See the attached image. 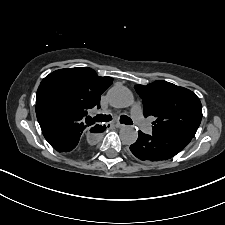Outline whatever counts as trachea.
Segmentation results:
<instances>
[{
	"mask_svg": "<svg viewBox=\"0 0 225 225\" xmlns=\"http://www.w3.org/2000/svg\"><path fill=\"white\" fill-rule=\"evenodd\" d=\"M94 119L97 122H108V121L112 120V117H111V115L98 114V115L95 116ZM120 122L125 123L127 125H132L131 118H129L126 115H123V116L120 117Z\"/></svg>",
	"mask_w": 225,
	"mask_h": 225,
	"instance_id": "trachea-1",
	"label": "trachea"
}]
</instances>
